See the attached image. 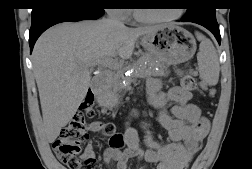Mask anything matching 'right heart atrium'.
I'll list each match as a JSON object with an SVG mask.
<instances>
[{
	"label": "right heart atrium",
	"mask_w": 252,
	"mask_h": 169,
	"mask_svg": "<svg viewBox=\"0 0 252 169\" xmlns=\"http://www.w3.org/2000/svg\"><path fill=\"white\" fill-rule=\"evenodd\" d=\"M111 14H113L116 18L121 20H126L129 17V10L123 8L110 9Z\"/></svg>",
	"instance_id": "obj_1"
}]
</instances>
